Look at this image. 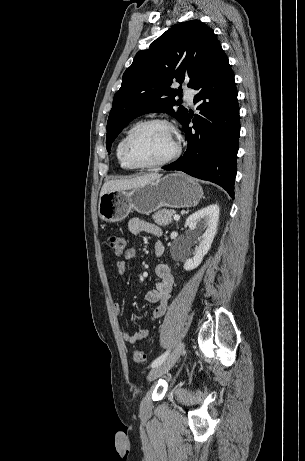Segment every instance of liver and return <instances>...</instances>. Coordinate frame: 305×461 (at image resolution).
I'll use <instances>...</instances> for the list:
<instances>
[{
    "label": "liver",
    "mask_w": 305,
    "mask_h": 461,
    "mask_svg": "<svg viewBox=\"0 0 305 461\" xmlns=\"http://www.w3.org/2000/svg\"><path fill=\"white\" fill-rule=\"evenodd\" d=\"M161 178V175L158 173H151L146 174L143 176L135 177V178H128V179H119V180H110L103 184L100 197L108 192L111 191H119V190H130L154 180Z\"/></svg>",
    "instance_id": "6515ba94"
}]
</instances>
